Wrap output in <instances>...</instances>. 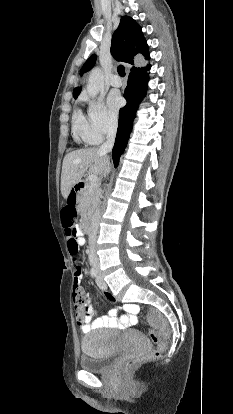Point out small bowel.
<instances>
[{
    "label": "small bowel",
    "mask_w": 233,
    "mask_h": 414,
    "mask_svg": "<svg viewBox=\"0 0 233 414\" xmlns=\"http://www.w3.org/2000/svg\"><path fill=\"white\" fill-rule=\"evenodd\" d=\"M76 238L79 246H83L85 244V239L80 231H76ZM79 255V252L76 250L71 252V257L74 258L72 267L75 274V281L73 282L72 287L76 291L80 289L82 285L81 280L83 278L82 271L80 269L81 264L76 260ZM106 299L110 303L115 302L114 297L110 294L106 295ZM96 309V306L93 304L91 305L90 300H88V305H86L83 310V315L86 316V320L88 321V323L82 325L81 327L83 333H87L91 329L96 328L125 329L133 327L137 323L136 313L138 312V306L136 304L127 303L123 308L116 307L109 310L106 315L100 317H98V311Z\"/></svg>",
    "instance_id": "c3829d8e"
}]
</instances>
